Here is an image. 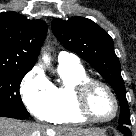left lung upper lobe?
I'll return each mask as SVG.
<instances>
[{"instance_id": "5c2ea615", "label": "left lung upper lobe", "mask_w": 136, "mask_h": 136, "mask_svg": "<svg viewBox=\"0 0 136 136\" xmlns=\"http://www.w3.org/2000/svg\"><path fill=\"white\" fill-rule=\"evenodd\" d=\"M52 31L64 47L89 62L114 89L120 104L119 125H130L128 102L112 38L92 20L54 19Z\"/></svg>"}]
</instances>
